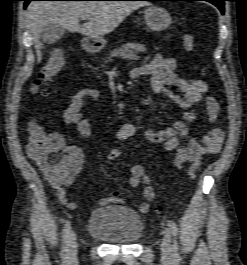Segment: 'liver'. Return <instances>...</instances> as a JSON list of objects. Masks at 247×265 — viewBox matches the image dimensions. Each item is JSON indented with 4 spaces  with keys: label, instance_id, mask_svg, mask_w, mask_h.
<instances>
[{
    "label": "liver",
    "instance_id": "liver-1",
    "mask_svg": "<svg viewBox=\"0 0 247 265\" xmlns=\"http://www.w3.org/2000/svg\"><path fill=\"white\" fill-rule=\"evenodd\" d=\"M145 5L149 4L142 1H32L27 8L26 21L38 60H41L43 48L40 36L48 24L98 39L114 31L128 15ZM82 16H89V22L80 25Z\"/></svg>",
    "mask_w": 247,
    "mask_h": 265
}]
</instances>
